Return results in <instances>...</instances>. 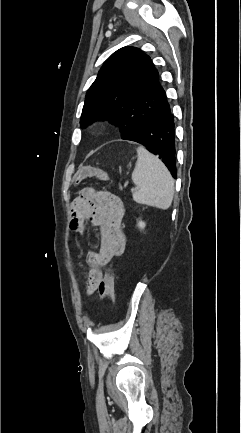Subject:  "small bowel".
I'll return each mask as SVG.
<instances>
[{"mask_svg": "<svg viewBox=\"0 0 241 433\" xmlns=\"http://www.w3.org/2000/svg\"><path fill=\"white\" fill-rule=\"evenodd\" d=\"M124 205L122 200L110 192L84 188L70 206V229L77 233L83 232L86 219L97 227L99 232V248L89 251L86 255L88 265L87 295L95 292L89 286V279L94 273L102 275V268L114 257L121 256L126 248V236L122 221Z\"/></svg>", "mask_w": 241, "mask_h": 433, "instance_id": "small-bowel-1", "label": "small bowel"}]
</instances>
